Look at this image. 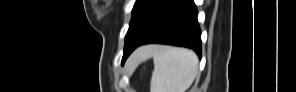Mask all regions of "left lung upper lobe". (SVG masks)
<instances>
[{
	"instance_id": "1",
	"label": "left lung upper lobe",
	"mask_w": 296,
	"mask_h": 92,
	"mask_svg": "<svg viewBox=\"0 0 296 92\" xmlns=\"http://www.w3.org/2000/svg\"><path fill=\"white\" fill-rule=\"evenodd\" d=\"M169 1L136 0L132 10L129 29L125 36L124 53L138 44L147 35Z\"/></svg>"
}]
</instances>
